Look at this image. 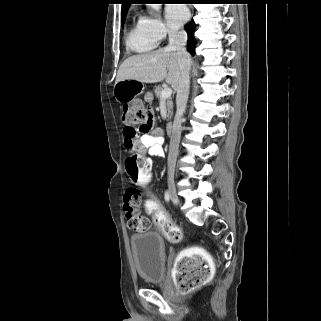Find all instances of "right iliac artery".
Segmentation results:
<instances>
[{"mask_svg":"<svg viewBox=\"0 0 321 321\" xmlns=\"http://www.w3.org/2000/svg\"><path fill=\"white\" fill-rule=\"evenodd\" d=\"M164 198H165V200H166L167 202L170 201V195H169V192H168V191L165 192Z\"/></svg>","mask_w":321,"mask_h":321,"instance_id":"82829eb1","label":"right iliac artery"}]
</instances>
